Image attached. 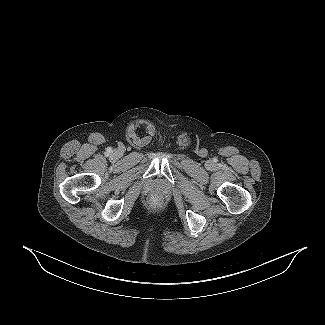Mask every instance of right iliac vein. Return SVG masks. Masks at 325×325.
<instances>
[{
  "label": "right iliac vein",
  "mask_w": 325,
  "mask_h": 325,
  "mask_svg": "<svg viewBox=\"0 0 325 325\" xmlns=\"http://www.w3.org/2000/svg\"><path fill=\"white\" fill-rule=\"evenodd\" d=\"M120 154H121V153H120L119 150H114V151H113V156H114V157H119Z\"/></svg>",
  "instance_id": "obj_1"
}]
</instances>
